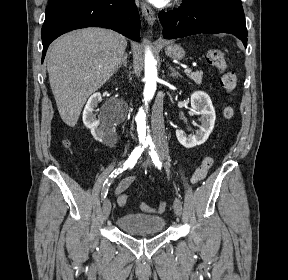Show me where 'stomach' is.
Wrapping results in <instances>:
<instances>
[{
  "label": "stomach",
  "mask_w": 288,
  "mask_h": 280,
  "mask_svg": "<svg viewBox=\"0 0 288 280\" xmlns=\"http://www.w3.org/2000/svg\"><path fill=\"white\" fill-rule=\"evenodd\" d=\"M165 53L167 56L177 60H180L185 56L184 49L177 44H168L165 48Z\"/></svg>",
  "instance_id": "0dacf381"
}]
</instances>
